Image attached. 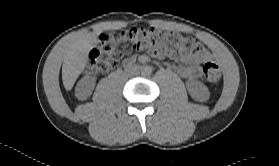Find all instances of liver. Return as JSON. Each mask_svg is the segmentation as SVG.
Returning a JSON list of instances; mask_svg holds the SVG:
<instances>
[{
	"instance_id": "1",
	"label": "liver",
	"mask_w": 279,
	"mask_h": 166,
	"mask_svg": "<svg viewBox=\"0 0 279 166\" xmlns=\"http://www.w3.org/2000/svg\"><path fill=\"white\" fill-rule=\"evenodd\" d=\"M98 33L91 32L76 38L65 53L62 80L66 90H71L85 69L88 54L97 40Z\"/></svg>"
}]
</instances>
